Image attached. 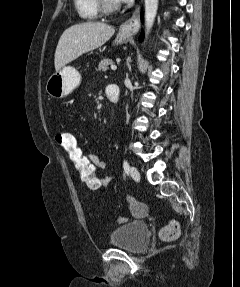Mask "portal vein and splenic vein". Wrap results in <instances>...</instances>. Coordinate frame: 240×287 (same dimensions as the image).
<instances>
[{"instance_id": "portal-vein-and-splenic-vein-1", "label": "portal vein and splenic vein", "mask_w": 240, "mask_h": 287, "mask_svg": "<svg viewBox=\"0 0 240 287\" xmlns=\"http://www.w3.org/2000/svg\"><path fill=\"white\" fill-rule=\"evenodd\" d=\"M111 69H112V70H116V69H117V66H116V65H111Z\"/></svg>"}]
</instances>
